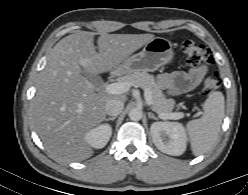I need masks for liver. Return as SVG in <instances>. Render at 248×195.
I'll return each mask as SVG.
<instances>
[{
  "mask_svg": "<svg viewBox=\"0 0 248 195\" xmlns=\"http://www.w3.org/2000/svg\"><path fill=\"white\" fill-rule=\"evenodd\" d=\"M153 34L102 33L95 51L94 33L77 31L61 39L51 50L32 104L34 128L48 152L56 159L82 161L93 154L85 135L105 120L110 99L125 96L95 92L82 74L118 71Z\"/></svg>",
  "mask_w": 248,
  "mask_h": 195,
  "instance_id": "6515ba94",
  "label": "liver"
}]
</instances>
